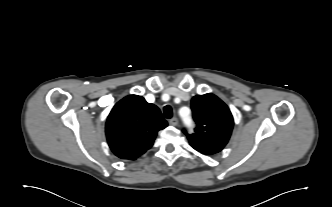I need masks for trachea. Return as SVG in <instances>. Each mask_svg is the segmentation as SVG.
<instances>
[{"label":"trachea","mask_w":332,"mask_h":207,"mask_svg":"<svg viewBox=\"0 0 332 207\" xmlns=\"http://www.w3.org/2000/svg\"><path fill=\"white\" fill-rule=\"evenodd\" d=\"M163 111H164V115H165L166 118L169 119V118L172 117L173 112H172V108L169 105L165 106Z\"/></svg>","instance_id":"trachea-1"}]
</instances>
